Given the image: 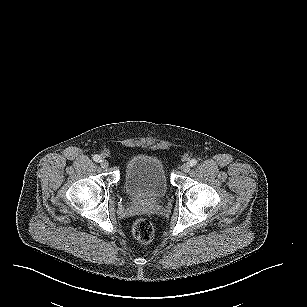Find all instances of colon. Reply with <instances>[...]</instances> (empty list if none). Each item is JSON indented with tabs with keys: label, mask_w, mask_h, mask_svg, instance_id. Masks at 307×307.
<instances>
[{
	"label": "colon",
	"mask_w": 307,
	"mask_h": 307,
	"mask_svg": "<svg viewBox=\"0 0 307 307\" xmlns=\"http://www.w3.org/2000/svg\"><path fill=\"white\" fill-rule=\"evenodd\" d=\"M133 236L141 243L148 244L154 239V227L148 219H138L132 226Z\"/></svg>",
	"instance_id": "obj_1"
}]
</instances>
